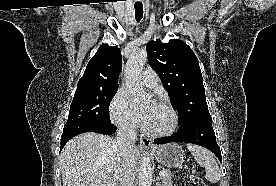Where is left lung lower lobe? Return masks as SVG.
<instances>
[{
	"label": "left lung lower lobe",
	"mask_w": 276,
	"mask_h": 186,
	"mask_svg": "<svg viewBox=\"0 0 276 186\" xmlns=\"http://www.w3.org/2000/svg\"><path fill=\"white\" fill-rule=\"evenodd\" d=\"M155 144H165L169 142H188L200 145L213 152L222 163L220 148L216 142L215 133L212 127V120H204L192 124L170 137L157 138Z\"/></svg>",
	"instance_id": "left-lung-lower-lobe-1"
}]
</instances>
